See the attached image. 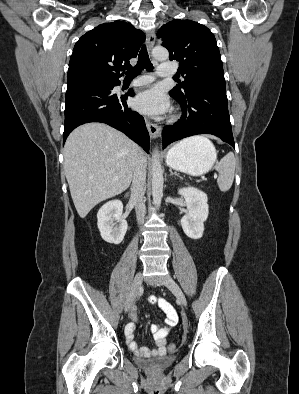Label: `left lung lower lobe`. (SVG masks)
<instances>
[{"label":"left lung lower lobe","mask_w":299,"mask_h":394,"mask_svg":"<svg viewBox=\"0 0 299 394\" xmlns=\"http://www.w3.org/2000/svg\"><path fill=\"white\" fill-rule=\"evenodd\" d=\"M175 98L182 107V117L162 131L163 148L170 143L197 134H213L235 148L228 112L224 82L204 81L188 87L181 98Z\"/></svg>","instance_id":"left-lung-lower-lobe-1"}]
</instances>
